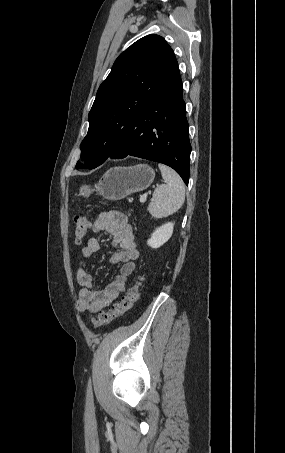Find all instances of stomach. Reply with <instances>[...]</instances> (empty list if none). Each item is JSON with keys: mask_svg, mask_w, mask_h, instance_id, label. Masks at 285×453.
I'll return each instance as SVG.
<instances>
[{"mask_svg": "<svg viewBox=\"0 0 285 453\" xmlns=\"http://www.w3.org/2000/svg\"><path fill=\"white\" fill-rule=\"evenodd\" d=\"M154 177V170L146 164L113 167L105 172L94 188L81 186L80 195L88 197L91 193L98 192L107 200H122L132 193L147 189Z\"/></svg>", "mask_w": 285, "mask_h": 453, "instance_id": "obj_1", "label": "stomach"}]
</instances>
